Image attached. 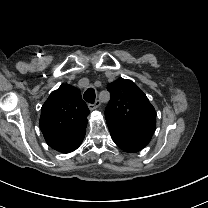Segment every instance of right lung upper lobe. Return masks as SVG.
Segmentation results:
<instances>
[{"instance_id": "right-lung-upper-lobe-1", "label": "right lung upper lobe", "mask_w": 208, "mask_h": 208, "mask_svg": "<svg viewBox=\"0 0 208 208\" xmlns=\"http://www.w3.org/2000/svg\"><path fill=\"white\" fill-rule=\"evenodd\" d=\"M89 109L80 91L62 84L41 108L40 129L49 146L72 139L86 130Z\"/></svg>"}]
</instances>
